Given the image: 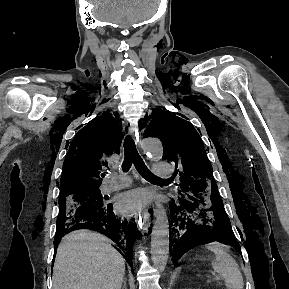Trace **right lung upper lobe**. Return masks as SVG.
Here are the masks:
<instances>
[{
  "label": "right lung upper lobe",
  "mask_w": 289,
  "mask_h": 289,
  "mask_svg": "<svg viewBox=\"0 0 289 289\" xmlns=\"http://www.w3.org/2000/svg\"><path fill=\"white\" fill-rule=\"evenodd\" d=\"M118 120L107 110L77 133L63 164L60 196L99 189L102 166L110 154L119 152L123 138Z\"/></svg>",
  "instance_id": "cb5924a9"
}]
</instances>
